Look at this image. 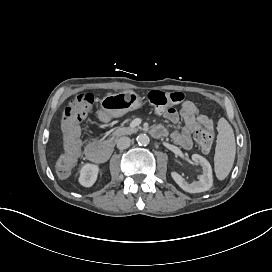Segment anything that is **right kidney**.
<instances>
[{
  "label": "right kidney",
  "mask_w": 272,
  "mask_h": 272,
  "mask_svg": "<svg viewBox=\"0 0 272 272\" xmlns=\"http://www.w3.org/2000/svg\"><path fill=\"white\" fill-rule=\"evenodd\" d=\"M98 171L97 165L85 164L80 171L79 183L84 187H91L97 179Z\"/></svg>",
  "instance_id": "obj_1"
}]
</instances>
